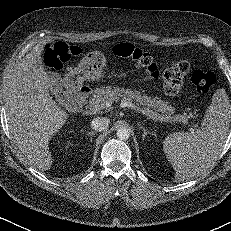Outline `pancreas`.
<instances>
[{
    "label": "pancreas",
    "mask_w": 231,
    "mask_h": 231,
    "mask_svg": "<svg viewBox=\"0 0 231 231\" xmlns=\"http://www.w3.org/2000/svg\"><path fill=\"white\" fill-rule=\"evenodd\" d=\"M100 102L105 107L106 103L112 102H135L140 105L143 110L152 115L160 122L177 121V117L180 115H173L175 108L168 105L167 102L162 101L158 97H149L145 94H141L139 91L124 89L119 87L102 86L94 90V94L89 99L90 102ZM185 117L190 115L184 114Z\"/></svg>",
    "instance_id": "pancreas-1"
}]
</instances>
